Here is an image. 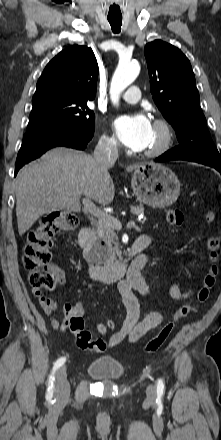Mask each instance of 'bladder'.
<instances>
[{
    "mask_svg": "<svg viewBox=\"0 0 221 440\" xmlns=\"http://www.w3.org/2000/svg\"><path fill=\"white\" fill-rule=\"evenodd\" d=\"M89 375L100 381H116L124 375V365L110 356L93 359L87 366Z\"/></svg>",
    "mask_w": 221,
    "mask_h": 440,
    "instance_id": "obj_1",
    "label": "bladder"
}]
</instances>
